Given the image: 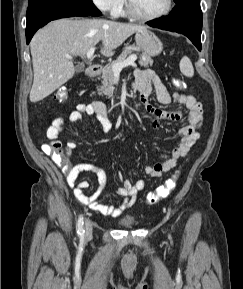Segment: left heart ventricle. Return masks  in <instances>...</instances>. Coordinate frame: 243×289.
Returning a JSON list of instances; mask_svg holds the SVG:
<instances>
[{
	"label": "left heart ventricle",
	"instance_id": "obj_1",
	"mask_svg": "<svg viewBox=\"0 0 243 289\" xmlns=\"http://www.w3.org/2000/svg\"><path fill=\"white\" fill-rule=\"evenodd\" d=\"M134 8L142 15H156L162 12L167 0H132Z\"/></svg>",
	"mask_w": 243,
	"mask_h": 289
}]
</instances>
